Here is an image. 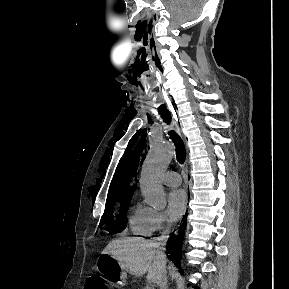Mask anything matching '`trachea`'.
<instances>
[{"instance_id": "obj_1", "label": "trachea", "mask_w": 289, "mask_h": 289, "mask_svg": "<svg viewBox=\"0 0 289 289\" xmlns=\"http://www.w3.org/2000/svg\"><path fill=\"white\" fill-rule=\"evenodd\" d=\"M161 114L163 119L167 122L170 123L171 121V113L168 109L163 108L161 110ZM169 135L170 138L172 139V141L175 144L176 147V157L177 160L180 164H184L185 159H186V150H185V146L184 143L182 141V139L176 134V132L174 130L169 131Z\"/></svg>"}]
</instances>
